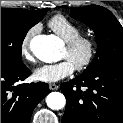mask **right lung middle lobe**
Masks as SVG:
<instances>
[{"label":"right lung middle lobe","mask_w":123,"mask_h":123,"mask_svg":"<svg viewBox=\"0 0 123 123\" xmlns=\"http://www.w3.org/2000/svg\"><path fill=\"white\" fill-rule=\"evenodd\" d=\"M48 10L1 8V67L25 66L21 60L22 42L28 30L41 21Z\"/></svg>","instance_id":"obj_1"}]
</instances>
